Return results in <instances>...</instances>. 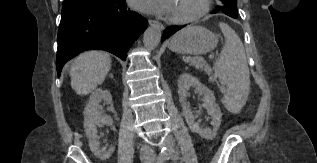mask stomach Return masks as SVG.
Segmentation results:
<instances>
[{
  "mask_svg": "<svg viewBox=\"0 0 317 163\" xmlns=\"http://www.w3.org/2000/svg\"><path fill=\"white\" fill-rule=\"evenodd\" d=\"M217 35L202 26H189L176 33L169 48L177 53L201 55L214 49Z\"/></svg>",
  "mask_w": 317,
  "mask_h": 163,
  "instance_id": "0dacf381",
  "label": "stomach"
}]
</instances>
